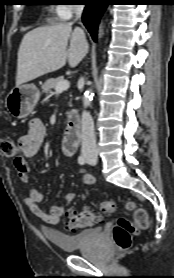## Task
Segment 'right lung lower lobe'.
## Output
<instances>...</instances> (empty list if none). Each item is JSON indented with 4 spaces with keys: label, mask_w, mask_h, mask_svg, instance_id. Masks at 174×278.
<instances>
[{
    "label": "right lung lower lobe",
    "mask_w": 174,
    "mask_h": 278,
    "mask_svg": "<svg viewBox=\"0 0 174 278\" xmlns=\"http://www.w3.org/2000/svg\"><path fill=\"white\" fill-rule=\"evenodd\" d=\"M86 5L82 20L94 41H96L97 27L103 11L109 4V0H84Z\"/></svg>",
    "instance_id": "obj_1"
}]
</instances>
